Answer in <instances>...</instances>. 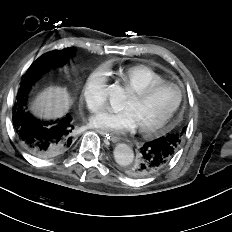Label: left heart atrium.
Masks as SVG:
<instances>
[{
    "instance_id": "39dd6f15",
    "label": "left heart atrium",
    "mask_w": 232,
    "mask_h": 232,
    "mask_svg": "<svg viewBox=\"0 0 232 232\" xmlns=\"http://www.w3.org/2000/svg\"><path fill=\"white\" fill-rule=\"evenodd\" d=\"M89 125L114 136H122L137 127L133 115L125 110L119 112L100 111L90 117Z\"/></svg>"
}]
</instances>
